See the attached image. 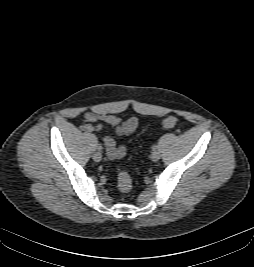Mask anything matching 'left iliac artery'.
<instances>
[{
  "label": "left iliac artery",
  "instance_id": "left-iliac-artery-1",
  "mask_svg": "<svg viewBox=\"0 0 254 267\" xmlns=\"http://www.w3.org/2000/svg\"><path fill=\"white\" fill-rule=\"evenodd\" d=\"M152 149L155 151V150L158 149V146H157V145H153V146H152Z\"/></svg>",
  "mask_w": 254,
  "mask_h": 267
}]
</instances>
